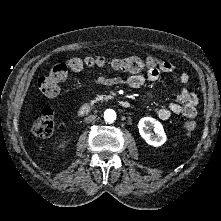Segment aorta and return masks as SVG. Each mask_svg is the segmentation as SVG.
<instances>
[{
  "instance_id": "762f6f07",
  "label": "aorta",
  "mask_w": 221,
  "mask_h": 221,
  "mask_svg": "<svg viewBox=\"0 0 221 221\" xmlns=\"http://www.w3.org/2000/svg\"><path fill=\"white\" fill-rule=\"evenodd\" d=\"M116 112L113 109H107L104 112V120L108 123H112L116 120Z\"/></svg>"
}]
</instances>
